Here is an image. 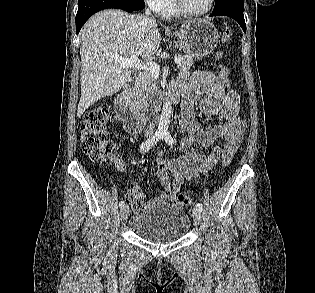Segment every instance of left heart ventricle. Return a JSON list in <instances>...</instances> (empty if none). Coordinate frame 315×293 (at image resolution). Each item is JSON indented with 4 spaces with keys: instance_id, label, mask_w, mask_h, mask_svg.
Masks as SVG:
<instances>
[{
    "instance_id": "1",
    "label": "left heart ventricle",
    "mask_w": 315,
    "mask_h": 293,
    "mask_svg": "<svg viewBox=\"0 0 315 293\" xmlns=\"http://www.w3.org/2000/svg\"><path fill=\"white\" fill-rule=\"evenodd\" d=\"M209 0H184L186 8L193 12L204 10L208 6Z\"/></svg>"
}]
</instances>
